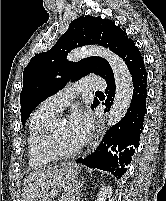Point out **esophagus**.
<instances>
[{
	"mask_svg": "<svg viewBox=\"0 0 166 201\" xmlns=\"http://www.w3.org/2000/svg\"><path fill=\"white\" fill-rule=\"evenodd\" d=\"M103 134H104L103 128H102V126L99 125L97 130H96L95 137H94V140L91 144V147L88 150V154L93 152L98 147V145L100 144V142L103 138Z\"/></svg>",
	"mask_w": 166,
	"mask_h": 201,
	"instance_id": "1",
	"label": "esophagus"
}]
</instances>
